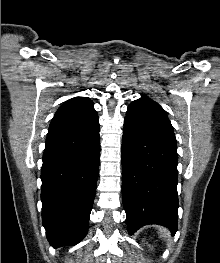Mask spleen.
I'll use <instances>...</instances> for the list:
<instances>
[{"label":"spleen","instance_id":"3e777b00","mask_svg":"<svg viewBox=\"0 0 220 263\" xmlns=\"http://www.w3.org/2000/svg\"><path fill=\"white\" fill-rule=\"evenodd\" d=\"M158 233L160 234V237H162V238H168V240H169V232H168L167 229L162 228V227H159V228H158Z\"/></svg>","mask_w":220,"mask_h":263}]
</instances>
